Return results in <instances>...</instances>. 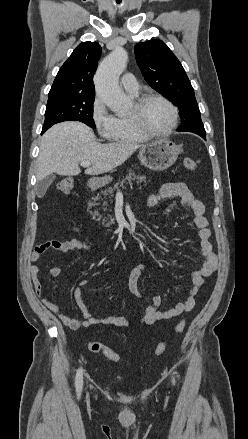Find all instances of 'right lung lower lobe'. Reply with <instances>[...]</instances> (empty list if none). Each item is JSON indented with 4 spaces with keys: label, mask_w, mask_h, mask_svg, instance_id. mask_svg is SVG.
Segmentation results:
<instances>
[{
    "label": "right lung lower lobe",
    "mask_w": 248,
    "mask_h": 439,
    "mask_svg": "<svg viewBox=\"0 0 248 439\" xmlns=\"http://www.w3.org/2000/svg\"><path fill=\"white\" fill-rule=\"evenodd\" d=\"M46 130L42 129V134L45 132Z\"/></svg>",
    "instance_id": "obj_1"
}]
</instances>
